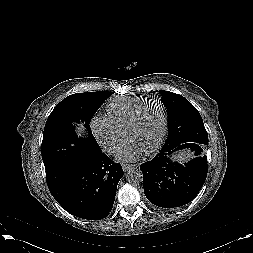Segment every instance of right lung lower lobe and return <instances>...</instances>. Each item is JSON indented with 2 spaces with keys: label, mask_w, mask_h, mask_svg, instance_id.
<instances>
[{
  "label": "right lung lower lobe",
  "mask_w": 253,
  "mask_h": 253,
  "mask_svg": "<svg viewBox=\"0 0 253 253\" xmlns=\"http://www.w3.org/2000/svg\"><path fill=\"white\" fill-rule=\"evenodd\" d=\"M123 174L121 165L100 148L82 160L46 170V179L51 194L67 212L100 220L110 214Z\"/></svg>",
  "instance_id": "1"
}]
</instances>
